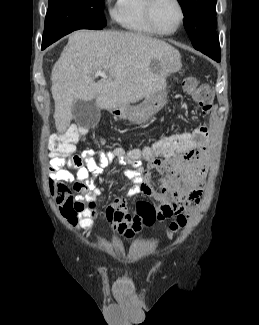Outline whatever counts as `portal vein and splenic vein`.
<instances>
[{
	"label": "portal vein and splenic vein",
	"mask_w": 259,
	"mask_h": 325,
	"mask_svg": "<svg viewBox=\"0 0 259 325\" xmlns=\"http://www.w3.org/2000/svg\"><path fill=\"white\" fill-rule=\"evenodd\" d=\"M94 75L95 76H101L103 78H108V76L104 72H102L101 70L96 71Z\"/></svg>",
	"instance_id": "1"
}]
</instances>
